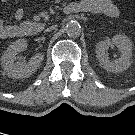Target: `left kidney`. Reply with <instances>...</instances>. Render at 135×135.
<instances>
[{"label": "left kidney", "instance_id": "1", "mask_svg": "<svg viewBox=\"0 0 135 135\" xmlns=\"http://www.w3.org/2000/svg\"><path fill=\"white\" fill-rule=\"evenodd\" d=\"M110 45H115L121 53V56L114 61H110L106 54ZM96 56L105 70L122 72L131 65L132 42L126 35H115L111 40H103L97 43Z\"/></svg>", "mask_w": 135, "mask_h": 135}]
</instances>
